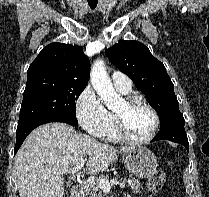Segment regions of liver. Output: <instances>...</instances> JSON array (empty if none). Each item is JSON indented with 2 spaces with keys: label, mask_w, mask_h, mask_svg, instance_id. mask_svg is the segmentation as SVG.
Returning <instances> with one entry per match:
<instances>
[{
  "label": "liver",
  "mask_w": 209,
  "mask_h": 197,
  "mask_svg": "<svg viewBox=\"0 0 209 197\" xmlns=\"http://www.w3.org/2000/svg\"><path fill=\"white\" fill-rule=\"evenodd\" d=\"M134 147L120 150L80 134L65 123H47L34 129L16 154L15 169L20 197H64L63 175L86 161V173L105 171ZM88 158V159H87Z\"/></svg>",
  "instance_id": "6515ba94"
}]
</instances>
